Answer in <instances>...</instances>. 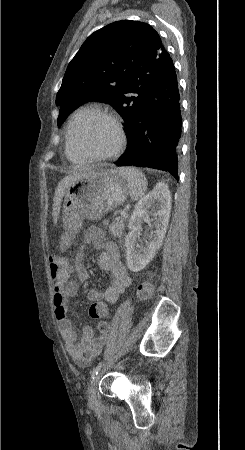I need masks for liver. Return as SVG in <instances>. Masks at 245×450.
<instances>
[{
  "mask_svg": "<svg viewBox=\"0 0 245 450\" xmlns=\"http://www.w3.org/2000/svg\"><path fill=\"white\" fill-rule=\"evenodd\" d=\"M90 171L91 170L70 174V175L66 176L65 178H63L59 182V184H58V186H57V188L55 190V195H54V199H53V213H52V215H53V219H54L55 223H56V220H57L59 212H60L62 199H63L67 189L71 185V183L74 180H76V179H78V178H80L82 176L87 175L88 173H90Z\"/></svg>",
  "mask_w": 245,
  "mask_h": 450,
  "instance_id": "obj_1",
  "label": "liver"
}]
</instances>
